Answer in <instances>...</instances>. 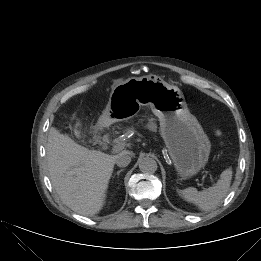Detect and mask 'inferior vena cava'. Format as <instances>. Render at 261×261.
Wrapping results in <instances>:
<instances>
[{"mask_svg": "<svg viewBox=\"0 0 261 261\" xmlns=\"http://www.w3.org/2000/svg\"><path fill=\"white\" fill-rule=\"evenodd\" d=\"M130 162H131V156L129 152L122 151L121 153L116 155L115 163L117 164V166L126 167L127 165H129Z\"/></svg>", "mask_w": 261, "mask_h": 261, "instance_id": "1", "label": "inferior vena cava"}]
</instances>
